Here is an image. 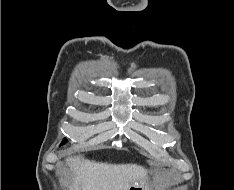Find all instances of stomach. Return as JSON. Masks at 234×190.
<instances>
[{
	"label": "stomach",
	"instance_id": "stomach-1",
	"mask_svg": "<svg viewBox=\"0 0 234 190\" xmlns=\"http://www.w3.org/2000/svg\"><path fill=\"white\" fill-rule=\"evenodd\" d=\"M150 177L145 175L133 183L128 190H149Z\"/></svg>",
	"mask_w": 234,
	"mask_h": 190
}]
</instances>
